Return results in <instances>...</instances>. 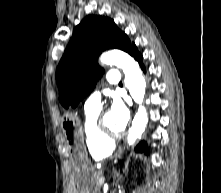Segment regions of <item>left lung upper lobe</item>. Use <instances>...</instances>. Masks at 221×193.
Wrapping results in <instances>:
<instances>
[{"mask_svg": "<svg viewBox=\"0 0 221 193\" xmlns=\"http://www.w3.org/2000/svg\"><path fill=\"white\" fill-rule=\"evenodd\" d=\"M132 44L112 19L97 15L85 17L75 28L56 70L62 105L76 107L94 88L103 73L97 58L104 50L115 48L128 52Z\"/></svg>", "mask_w": 221, "mask_h": 193, "instance_id": "5c2ea615", "label": "left lung upper lobe"}]
</instances>
